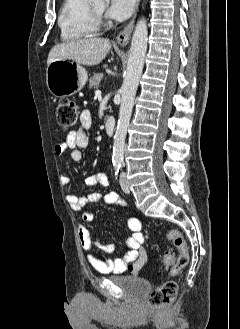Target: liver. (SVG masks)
<instances>
[{
    "label": "liver",
    "mask_w": 240,
    "mask_h": 329,
    "mask_svg": "<svg viewBox=\"0 0 240 329\" xmlns=\"http://www.w3.org/2000/svg\"><path fill=\"white\" fill-rule=\"evenodd\" d=\"M108 39L89 37L55 45L49 52L47 65L56 60H71L79 65H98L109 53Z\"/></svg>",
    "instance_id": "6515ba94"
}]
</instances>
